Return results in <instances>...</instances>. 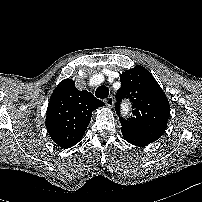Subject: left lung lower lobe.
Returning a JSON list of instances; mask_svg holds the SVG:
<instances>
[{"label": "left lung lower lobe", "instance_id": "obj_1", "mask_svg": "<svg viewBox=\"0 0 202 202\" xmlns=\"http://www.w3.org/2000/svg\"><path fill=\"white\" fill-rule=\"evenodd\" d=\"M124 138L126 141H128L129 143L135 145V146H139V147H144L154 141L148 140V139H143V138H139L133 135H130L128 133L122 132Z\"/></svg>", "mask_w": 202, "mask_h": 202}]
</instances>
